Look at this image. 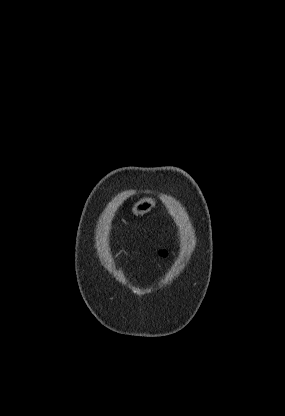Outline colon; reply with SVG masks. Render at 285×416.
<instances>
[{"mask_svg":"<svg viewBox=\"0 0 285 416\" xmlns=\"http://www.w3.org/2000/svg\"><path fill=\"white\" fill-rule=\"evenodd\" d=\"M160 255L161 256H165L166 255V251L165 250L160 251Z\"/></svg>","mask_w":285,"mask_h":416,"instance_id":"5ec220e1","label":"colon"}]
</instances>
